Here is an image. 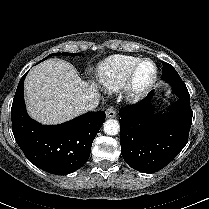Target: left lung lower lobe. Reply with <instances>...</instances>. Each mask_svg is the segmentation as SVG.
<instances>
[{
  "label": "left lung lower lobe",
  "mask_w": 209,
  "mask_h": 209,
  "mask_svg": "<svg viewBox=\"0 0 209 209\" xmlns=\"http://www.w3.org/2000/svg\"><path fill=\"white\" fill-rule=\"evenodd\" d=\"M179 99L168 115L155 114L151 95L120 110V144L125 162L137 171L154 173L164 168L188 142L192 124L190 95L180 77L164 79Z\"/></svg>",
  "instance_id": "0a47b994"
}]
</instances>
